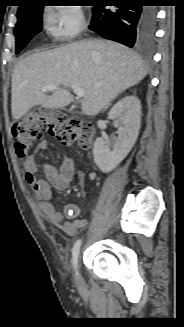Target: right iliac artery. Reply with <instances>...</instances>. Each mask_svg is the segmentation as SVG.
Wrapping results in <instances>:
<instances>
[{
  "instance_id": "right-iliac-artery-1",
  "label": "right iliac artery",
  "mask_w": 184,
  "mask_h": 327,
  "mask_svg": "<svg viewBox=\"0 0 184 327\" xmlns=\"http://www.w3.org/2000/svg\"><path fill=\"white\" fill-rule=\"evenodd\" d=\"M80 246H81V239H78L75 242L73 249H72V262H73V266H74L75 270L77 268L78 254H79Z\"/></svg>"
}]
</instances>
